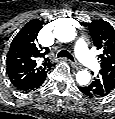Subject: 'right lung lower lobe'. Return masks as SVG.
Masks as SVG:
<instances>
[{"instance_id":"obj_1","label":"right lung lower lobe","mask_w":115,"mask_h":119,"mask_svg":"<svg viewBox=\"0 0 115 119\" xmlns=\"http://www.w3.org/2000/svg\"><path fill=\"white\" fill-rule=\"evenodd\" d=\"M45 78H46V75L43 76L42 78H40L39 80L31 83V84H28V85H25V86H22V87H19L17 89L23 91V92H31V91H35L36 89H38L45 81Z\"/></svg>"}]
</instances>
